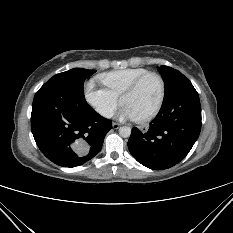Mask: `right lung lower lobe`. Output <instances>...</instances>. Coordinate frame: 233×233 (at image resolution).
Returning a JSON list of instances; mask_svg holds the SVG:
<instances>
[{
    "instance_id": "98d812e1",
    "label": "right lung lower lobe",
    "mask_w": 233,
    "mask_h": 233,
    "mask_svg": "<svg viewBox=\"0 0 233 233\" xmlns=\"http://www.w3.org/2000/svg\"><path fill=\"white\" fill-rule=\"evenodd\" d=\"M112 122L96 113L80 90L45 83L35 94L31 129L37 146L52 162L76 167L102 148Z\"/></svg>"
}]
</instances>
